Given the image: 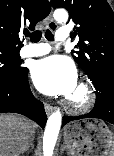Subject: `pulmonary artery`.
Segmentation results:
<instances>
[{
  "label": "pulmonary artery",
  "instance_id": "obj_1",
  "mask_svg": "<svg viewBox=\"0 0 114 156\" xmlns=\"http://www.w3.org/2000/svg\"><path fill=\"white\" fill-rule=\"evenodd\" d=\"M56 39L60 42H66L69 39V30L60 28L56 33ZM51 48L47 44H29L20 51L22 57H39L50 52Z\"/></svg>",
  "mask_w": 114,
  "mask_h": 156
}]
</instances>
